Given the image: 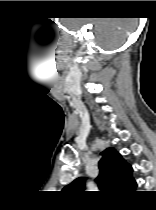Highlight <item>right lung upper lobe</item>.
I'll use <instances>...</instances> for the list:
<instances>
[{
	"instance_id": "1",
	"label": "right lung upper lobe",
	"mask_w": 156,
	"mask_h": 210,
	"mask_svg": "<svg viewBox=\"0 0 156 210\" xmlns=\"http://www.w3.org/2000/svg\"><path fill=\"white\" fill-rule=\"evenodd\" d=\"M99 169L96 182L101 190L130 194L137 187L132 177V167L114 148H107L102 153ZM85 181V177H79L67 187L82 191L85 188Z\"/></svg>"
}]
</instances>
